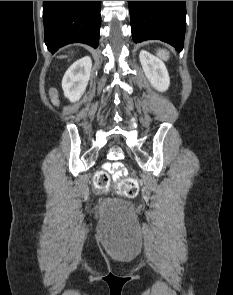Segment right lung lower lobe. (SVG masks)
<instances>
[{
	"label": "right lung lower lobe",
	"mask_w": 233,
	"mask_h": 295,
	"mask_svg": "<svg viewBox=\"0 0 233 295\" xmlns=\"http://www.w3.org/2000/svg\"><path fill=\"white\" fill-rule=\"evenodd\" d=\"M101 1H43L45 44L54 53L69 43L98 46Z\"/></svg>",
	"instance_id": "98d812e1"
}]
</instances>
